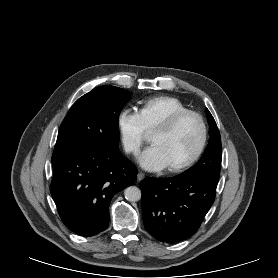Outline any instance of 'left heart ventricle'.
<instances>
[{
    "mask_svg": "<svg viewBox=\"0 0 278 278\" xmlns=\"http://www.w3.org/2000/svg\"><path fill=\"white\" fill-rule=\"evenodd\" d=\"M200 136L198 121L188 117L170 132H153L150 141L160 148L167 166H170L190 157L198 147Z\"/></svg>",
    "mask_w": 278,
    "mask_h": 278,
    "instance_id": "left-heart-ventricle-1",
    "label": "left heart ventricle"
}]
</instances>
